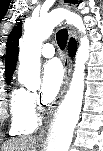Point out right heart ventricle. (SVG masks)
<instances>
[{"label": "right heart ventricle", "mask_w": 103, "mask_h": 151, "mask_svg": "<svg viewBox=\"0 0 103 151\" xmlns=\"http://www.w3.org/2000/svg\"><path fill=\"white\" fill-rule=\"evenodd\" d=\"M12 136L28 135L34 132L38 119L29 104V92L23 88H14L10 99Z\"/></svg>", "instance_id": "obj_1"}]
</instances>
